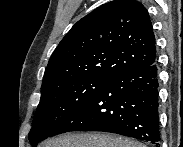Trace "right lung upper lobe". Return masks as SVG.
<instances>
[{"label": "right lung upper lobe", "instance_id": "right-lung-upper-lobe-1", "mask_svg": "<svg viewBox=\"0 0 183 147\" xmlns=\"http://www.w3.org/2000/svg\"><path fill=\"white\" fill-rule=\"evenodd\" d=\"M154 62L155 36L147 10L135 0H114L66 34L49 60L42 88L83 78L110 80Z\"/></svg>", "mask_w": 183, "mask_h": 147}]
</instances>
